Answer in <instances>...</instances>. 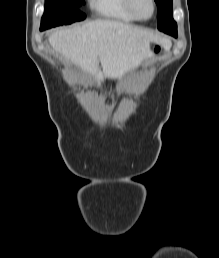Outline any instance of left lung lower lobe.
<instances>
[{
    "mask_svg": "<svg viewBox=\"0 0 219 258\" xmlns=\"http://www.w3.org/2000/svg\"><path fill=\"white\" fill-rule=\"evenodd\" d=\"M167 34H169L171 36H174V37H177V31L176 32H170V33H167Z\"/></svg>",
    "mask_w": 219,
    "mask_h": 258,
    "instance_id": "obj_1",
    "label": "left lung lower lobe"
}]
</instances>
